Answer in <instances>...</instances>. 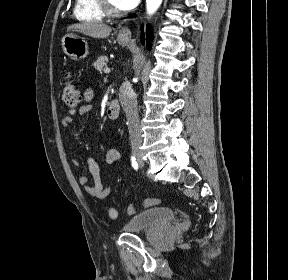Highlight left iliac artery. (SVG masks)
<instances>
[{"label": "left iliac artery", "mask_w": 288, "mask_h": 280, "mask_svg": "<svg viewBox=\"0 0 288 280\" xmlns=\"http://www.w3.org/2000/svg\"><path fill=\"white\" fill-rule=\"evenodd\" d=\"M131 165L134 169H138V163H137L135 157H131Z\"/></svg>", "instance_id": "44dca946"}]
</instances>
